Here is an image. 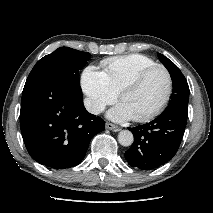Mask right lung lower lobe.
Segmentation results:
<instances>
[{"label":"right lung lower lobe","instance_id":"right-lung-lower-lobe-1","mask_svg":"<svg viewBox=\"0 0 213 213\" xmlns=\"http://www.w3.org/2000/svg\"><path fill=\"white\" fill-rule=\"evenodd\" d=\"M20 128L29 155L54 169L78 165L92 137L105 129L102 118L83 106V95L47 76L26 81Z\"/></svg>","mask_w":213,"mask_h":213}]
</instances>
